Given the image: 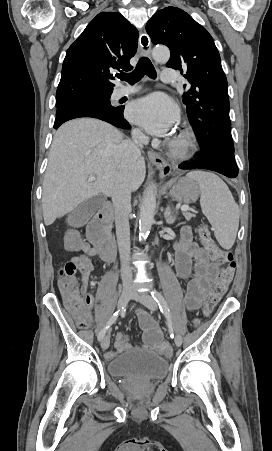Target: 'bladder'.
Listing matches in <instances>:
<instances>
[{
	"instance_id": "bladder-1",
	"label": "bladder",
	"mask_w": 272,
	"mask_h": 451,
	"mask_svg": "<svg viewBox=\"0 0 272 451\" xmlns=\"http://www.w3.org/2000/svg\"><path fill=\"white\" fill-rule=\"evenodd\" d=\"M168 360L162 355L154 352H142L135 354L117 355L110 360L106 366V371L110 376L118 378H139L156 380L164 378L169 370Z\"/></svg>"
}]
</instances>
